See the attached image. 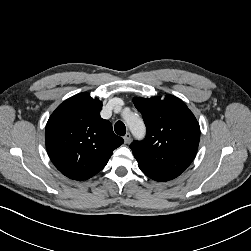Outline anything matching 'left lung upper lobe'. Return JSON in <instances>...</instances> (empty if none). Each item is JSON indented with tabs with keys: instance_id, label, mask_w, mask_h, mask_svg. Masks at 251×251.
Returning a JSON list of instances; mask_svg holds the SVG:
<instances>
[{
	"instance_id": "1",
	"label": "left lung upper lobe",
	"mask_w": 251,
	"mask_h": 251,
	"mask_svg": "<svg viewBox=\"0 0 251 251\" xmlns=\"http://www.w3.org/2000/svg\"><path fill=\"white\" fill-rule=\"evenodd\" d=\"M141 112L147 134L130 145L142 171L179 176L195 158L200 127L183 101L173 95L164 99H133Z\"/></svg>"
}]
</instances>
